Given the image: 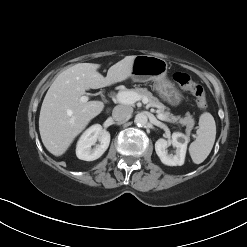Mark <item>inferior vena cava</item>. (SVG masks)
Instances as JSON below:
<instances>
[{
  "instance_id": "obj_1",
  "label": "inferior vena cava",
  "mask_w": 247,
  "mask_h": 247,
  "mask_svg": "<svg viewBox=\"0 0 247 247\" xmlns=\"http://www.w3.org/2000/svg\"><path fill=\"white\" fill-rule=\"evenodd\" d=\"M133 112V109L129 106L118 105L114 107L112 111V117L115 121H124L128 119Z\"/></svg>"
}]
</instances>
